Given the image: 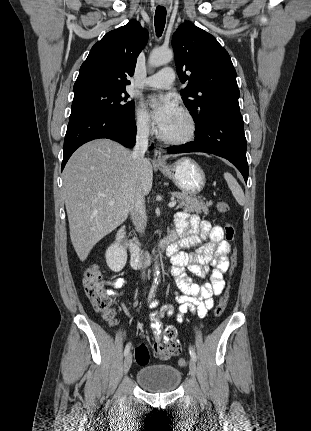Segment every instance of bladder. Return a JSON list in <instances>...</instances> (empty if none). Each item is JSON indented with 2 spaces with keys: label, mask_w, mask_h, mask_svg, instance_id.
I'll return each instance as SVG.
<instances>
[{
  "label": "bladder",
  "mask_w": 311,
  "mask_h": 431,
  "mask_svg": "<svg viewBox=\"0 0 311 431\" xmlns=\"http://www.w3.org/2000/svg\"><path fill=\"white\" fill-rule=\"evenodd\" d=\"M138 384L151 393H170L181 384L182 372L170 364L143 365L136 374Z\"/></svg>",
  "instance_id": "obj_1"
}]
</instances>
